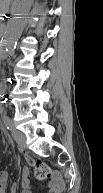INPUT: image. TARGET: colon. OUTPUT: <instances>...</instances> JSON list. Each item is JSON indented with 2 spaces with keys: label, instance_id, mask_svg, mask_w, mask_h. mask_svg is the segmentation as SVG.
<instances>
[{
  "label": "colon",
  "instance_id": "colon-1",
  "mask_svg": "<svg viewBox=\"0 0 103 193\" xmlns=\"http://www.w3.org/2000/svg\"><path fill=\"white\" fill-rule=\"evenodd\" d=\"M31 166L33 168L34 176L38 180H47L54 176L50 167L41 161H32Z\"/></svg>",
  "mask_w": 103,
  "mask_h": 193
}]
</instances>
